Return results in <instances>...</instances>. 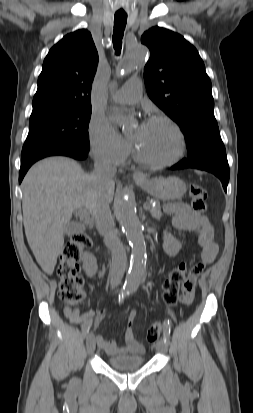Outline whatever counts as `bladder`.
I'll return each mask as SVG.
<instances>
[{
    "label": "bladder",
    "mask_w": 253,
    "mask_h": 413,
    "mask_svg": "<svg viewBox=\"0 0 253 413\" xmlns=\"http://www.w3.org/2000/svg\"><path fill=\"white\" fill-rule=\"evenodd\" d=\"M145 362L141 354L118 355L108 358V364L120 371H128L141 367Z\"/></svg>",
    "instance_id": "bladder-1"
}]
</instances>
